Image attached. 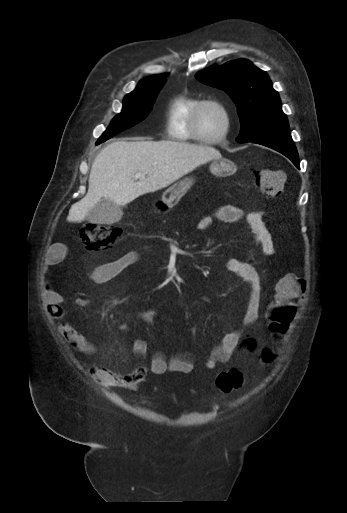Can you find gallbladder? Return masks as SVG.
Instances as JSON below:
<instances>
[{
    "label": "gallbladder",
    "mask_w": 347,
    "mask_h": 513,
    "mask_svg": "<svg viewBox=\"0 0 347 513\" xmlns=\"http://www.w3.org/2000/svg\"><path fill=\"white\" fill-rule=\"evenodd\" d=\"M122 216V206L109 199H102L88 212L86 219L94 224H113L118 222Z\"/></svg>",
    "instance_id": "bac80fb5"
}]
</instances>
